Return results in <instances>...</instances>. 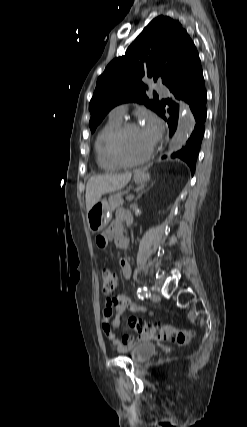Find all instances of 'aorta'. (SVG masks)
I'll use <instances>...</instances> for the list:
<instances>
[{
  "label": "aorta",
  "instance_id": "aorta-1",
  "mask_svg": "<svg viewBox=\"0 0 247 427\" xmlns=\"http://www.w3.org/2000/svg\"><path fill=\"white\" fill-rule=\"evenodd\" d=\"M195 127L194 116L186 103H181L179 108V120L177 129L168 145L167 153H173L186 143Z\"/></svg>",
  "mask_w": 247,
  "mask_h": 427
}]
</instances>
